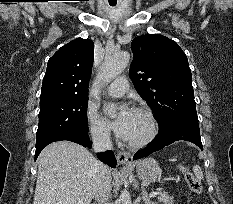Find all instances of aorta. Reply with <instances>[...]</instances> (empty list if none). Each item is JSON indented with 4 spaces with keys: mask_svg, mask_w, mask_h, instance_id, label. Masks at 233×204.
<instances>
[{
    "mask_svg": "<svg viewBox=\"0 0 233 204\" xmlns=\"http://www.w3.org/2000/svg\"><path fill=\"white\" fill-rule=\"evenodd\" d=\"M130 61V54L126 51H120L105 57L101 66L98 80L102 83H109L127 67ZM120 204H131V196L126 189L121 191L119 197Z\"/></svg>",
    "mask_w": 233,
    "mask_h": 204,
    "instance_id": "obj_1",
    "label": "aorta"
}]
</instances>
